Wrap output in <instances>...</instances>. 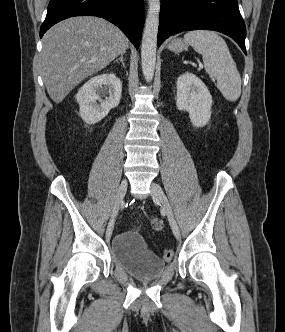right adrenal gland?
Here are the masks:
<instances>
[{
  "label": "right adrenal gland",
  "instance_id": "2a0ac1e0",
  "mask_svg": "<svg viewBox=\"0 0 285 332\" xmlns=\"http://www.w3.org/2000/svg\"><path fill=\"white\" fill-rule=\"evenodd\" d=\"M123 56H124V54H121V56L118 59H116L115 62L120 61L122 63V65H123V67H125Z\"/></svg>",
  "mask_w": 285,
  "mask_h": 332
}]
</instances>
